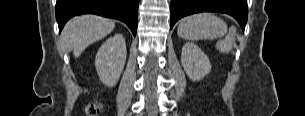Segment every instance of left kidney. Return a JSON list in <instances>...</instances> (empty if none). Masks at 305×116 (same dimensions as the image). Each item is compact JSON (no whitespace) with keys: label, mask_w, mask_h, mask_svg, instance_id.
<instances>
[{"label":"left kidney","mask_w":305,"mask_h":116,"mask_svg":"<svg viewBox=\"0 0 305 116\" xmlns=\"http://www.w3.org/2000/svg\"><path fill=\"white\" fill-rule=\"evenodd\" d=\"M181 65L192 81H200L211 71L207 55L194 43H185L181 53Z\"/></svg>","instance_id":"1"}]
</instances>
